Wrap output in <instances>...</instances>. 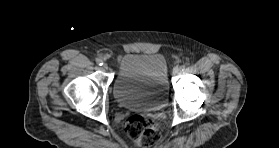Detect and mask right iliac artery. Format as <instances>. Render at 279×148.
Returning <instances> with one entry per match:
<instances>
[{
	"mask_svg": "<svg viewBox=\"0 0 279 148\" xmlns=\"http://www.w3.org/2000/svg\"><path fill=\"white\" fill-rule=\"evenodd\" d=\"M96 63L99 65V66H102L103 65V61L101 59H97L96 60Z\"/></svg>",
	"mask_w": 279,
	"mask_h": 148,
	"instance_id": "1",
	"label": "right iliac artery"
}]
</instances>
